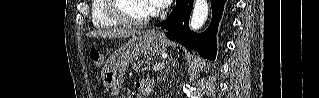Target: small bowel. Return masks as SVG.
<instances>
[{
	"mask_svg": "<svg viewBox=\"0 0 319 98\" xmlns=\"http://www.w3.org/2000/svg\"><path fill=\"white\" fill-rule=\"evenodd\" d=\"M152 86V81L150 79H144L142 81L137 82L136 87L140 92L146 94L150 91Z\"/></svg>",
	"mask_w": 319,
	"mask_h": 98,
	"instance_id": "c3829d8e",
	"label": "small bowel"
}]
</instances>
